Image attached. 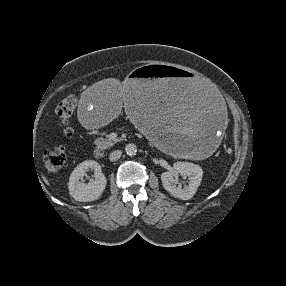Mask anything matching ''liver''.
<instances>
[{
	"label": "liver",
	"mask_w": 286,
	"mask_h": 286,
	"mask_svg": "<svg viewBox=\"0 0 286 286\" xmlns=\"http://www.w3.org/2000/svg\"><path fill=\"white\" fill-rule=\"evenodd\" d=\"M118 89L121 90V91H122V89H123L122 92H127V91H128L126 84H124L123 87L120 86V85H118ZM126 96H127V95L124 94V99L126 98ZM43 179H44V181L48 184V181H47V179H46L44 176H43Z\"/></svg>",
	"instance_id": "6515ba94"
}]
</instances>
